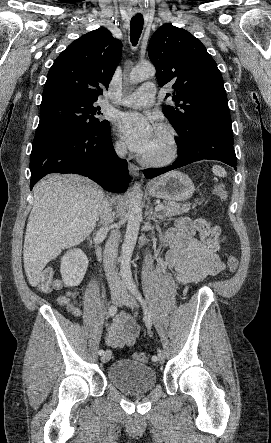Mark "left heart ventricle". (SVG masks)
I'll list each match as a JSON object with an SVG mask.
<instances>
[{"label":"left heart ventricle","instance_id":"b2bd125f","mask_svg":"<svg viewBox=\"0 0 271 443\" xmlns=\"http://www.w3.org/2000/svg\"><path fill=\"white\" fill-rule=\"evenodd\" d=\"M169 143L164 133L157 128L154 130L153 140L151 146L146 154L149 157H157L167 153Z\"/></svg>","mask_w":271,"mask_h":443}]
</instances>
